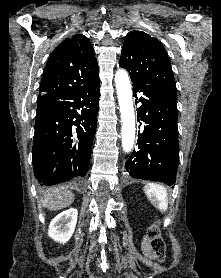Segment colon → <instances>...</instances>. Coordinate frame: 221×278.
Instances as JSON below:
<instances>
[{
    "label": "colon",
    "mask_w": 221,
    "mask_h": 278,
    "mask_svg": "<svg viewBox=\"0 0 221 278\" xmlns=\"http://www.w3.org/2000/svg\"><path fill=\"white\" fill-rule=\"evenodd\" d=\"M149 249L153 257L160 261L165 260V242L161 236L158 223L153 224L147 232Z\"/></svg>",
    "instance_id": "1"
}]
</instances>
